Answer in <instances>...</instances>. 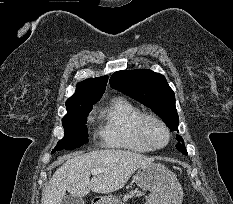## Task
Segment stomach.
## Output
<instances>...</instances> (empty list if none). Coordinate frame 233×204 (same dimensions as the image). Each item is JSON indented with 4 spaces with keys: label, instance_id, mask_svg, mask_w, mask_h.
I'll return each mask as SVG.
<instances>
[{
    "label": "stomach",
    "instance_id": "0dacf381",
    "mask_svg": "<svg viewBox=\"0 0 233 204\" xmlns=\"http://www.w3.org/2000/svg\"><path fill=\"white\" fill-rule=\"evenodd\" d=\"M134 181L150 192L145 204H182L183 190L175 175L163 164L152 162L138 168ZM102 204H122L105 200Z\"/></svg>",
    "mask_w": 233,
    "mask_h": 204
}]
</instances>
